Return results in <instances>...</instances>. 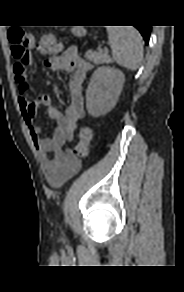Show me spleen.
Segmentation results:
<instances>
[{"mask_svg": "<svg viewBox=\"0 0 184 292\" xmlns=\"http://www.w3.org/2000/svg\"><path fill=\"white\" fill-rule=\"evenodd\" d=\"M108 39L115 62L128 70L139 68L143 58V42L134 27H108Z\"/></svg>", "mask_w": 184, "mask_h": 292, "instance_id": "obj_1", "label": "spleen"}]
</instances>
